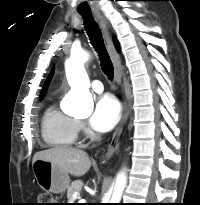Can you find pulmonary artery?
<instances>
[{"label": "pulmonary artery", "mask_w": 200, "mask_h": 205, "mask_svg": "<svg viewBox=\"0 0 200 205\" xmlns=\"http://www.w3.org/2000/svg\"><path fill=\"white\" fill-rule=\"evenodd\" d=\"M91 88H92L93 91H95L96 93H101V92H103V89H104L102 82L99 81V80H94V81H92V83H91Z\"/></svg>", "instance_id": "obj_1"}]
</instances>
